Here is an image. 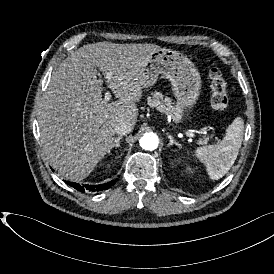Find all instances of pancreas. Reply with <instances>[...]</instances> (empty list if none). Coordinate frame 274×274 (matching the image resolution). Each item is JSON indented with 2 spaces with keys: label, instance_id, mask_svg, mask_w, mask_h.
<instances>
[{
  "label": "pancreas",
  "instance_id": "pancreas-1",
  "mask_svg": "<svg viewBox=\"0 0 274 274\" xmlns=\"http://www.w3.org/2000/svg\"><path fill=\"white\" fill-rule=\"evenodd\" d=\"M147 102L152 108H156L161 113H165L167 117H171L174 121H178L182 117V109L172 106L170 98H163V95L156 92L153 97H148Z\"/></svg>",
  "mask_w": 274,
  "mask_h": 274
}]
</instances>
